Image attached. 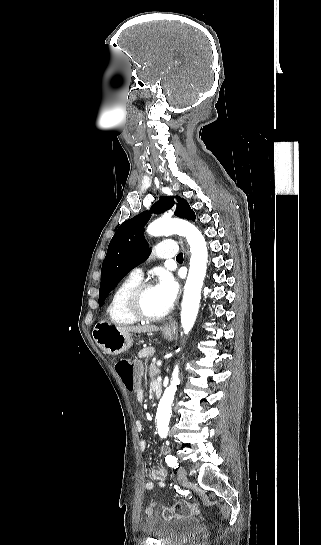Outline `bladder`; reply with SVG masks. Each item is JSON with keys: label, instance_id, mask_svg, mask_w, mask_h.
I'll use <instances>...</instances> for the list:
<instances>
[{"label": "bladder", "instance_id": "bladder-1", "mask_svg": "<svg viewBox=\"0 0 321 545\" xmlns=\"http://www.w3.org/2000/svg\"><path fill=\"white\" fill-rule=\"evenodd\" d=\"M199 521L193 516L168 517L163 509H151L143 524L144 533L162 545H184L195 534Z\"/></svg>", "mask_w": 321, "mask_h": 545}]
</instances>
